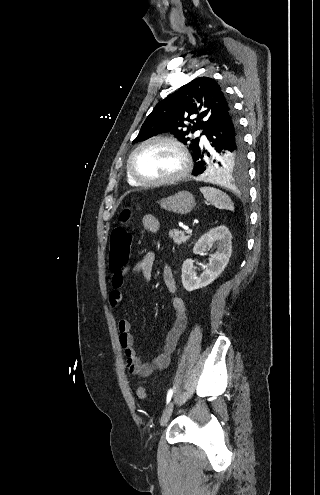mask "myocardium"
I'll list each match as a JSON object with an SVG mask.
<instances>
[{"label": "myocardium", "mask_w": 320, "mask_h": 495, "mask_svg": "<svg viewBox=\"0 0 320 495\" xmlns=\"http://www.w3.org/2000/svg\"><path fill=\"white\" fill-rule=\"evenodd\" d=\"M160 142L170 144L177 150L181 159V168L176 174L167 178L148 180L138 176L133 167V161L135 155L145 146L152 143H160ZM189 169H190V158L186 147L183 145L182 142L170 136H156L146 139L145 141L138 144L132 150V152L130 153L127 159V173L138 185L141 186H164V185L175 184L181 181L187 175Z\"/></svg>", "instance_id": "f54148a6"}]
</instances>
